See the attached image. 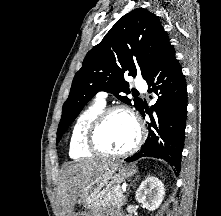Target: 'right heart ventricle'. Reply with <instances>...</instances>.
Here are the masks:
<instances>
[{"label": "right heart ventricle", "instance_id": "right-heart-ventricle-1", "mask_svg": "<svg viewBox=\"0 0 221 216\" xmlns=\"http://www.w3.org/2000/svg\"><path fill=\"white\" fill-rule=\"evenodd\" d=\"M105 108V103L95 101L86 107L76 119L69 139V155L71 158H85L93 155L85 144L86 130L95 117Z\"/></svg>", "mask_w": 221, "mask_h": 216}]
</instances>
